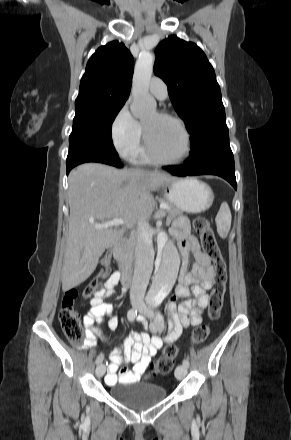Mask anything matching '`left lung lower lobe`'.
Instances as JSON below:
<instances>
[{
    "label": "left lung lower lobe",
    "instance_id": "obj_1",
    "mask_svg": "<svg viewBox=\"0 0 291 440\" xmlns=\"http://www.w3.org/2000/svg\"><path fill=\"white\" fill-rule=\"evenodd\" d=\"M164 170L175 176L217 175L226 179L237 189L234 157L229 145V135L210 141L196 153L191 154L184 165L164 166Z\"/></svg>",
    "mask_w": 291,
    "mask_h": 440
}]
</instances>
